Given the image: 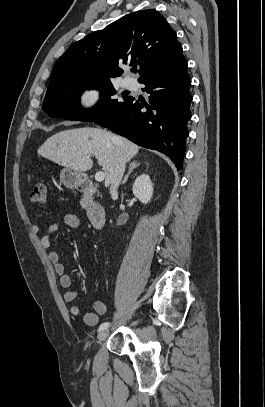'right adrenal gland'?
<instances>
[{"instance_id":"1","label":"right adrenal gland","mask_w":265,"mask_h":407,"mask_svg":"<svg viewBox=\"0 0 265 407\" xmlns=\"http://www.w3.org/2000/svg\"><path fill=\"white\" fill-rule=\"evenodd\" d=\"M140 165V163H138L137 161H132L129 165V171L128 173L125 175L124 179L122 180L121 184H125L128 180L129 175L133 172V170L135 168H137Z\"/></svg>"}]
</instances>
